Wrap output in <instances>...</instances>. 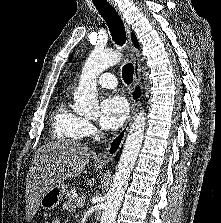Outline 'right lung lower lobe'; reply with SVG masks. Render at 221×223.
I'll return each instance as SVG.
<instances>
[{"label":"right lung lower lobe","instance_id":"98d812e1","mask_svg":"<svg viewBox=\"0 0 221 223\" xmlns=\"http://www.w3.org/2000/svg\"><path fill=\"white\" fill-rule=\"evenodd\" d=\"M139 96V89H136L135 93H134V98H137Z\"/></svg>","mask_w":221,"mask_h":223}]
</instances>
